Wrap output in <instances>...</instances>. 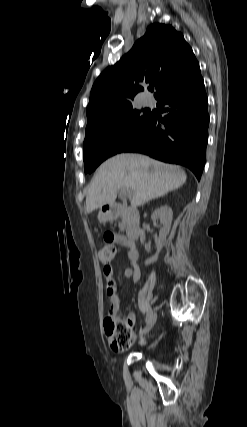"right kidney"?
<instances>
[{
    "mask_svg": "<svg viewBox=\"0 0 247 427\" xmlns=\"http://www.w3.org/2000/svg\"><path fill=\"white\" fill-rule=\"evenodd\" d=\"M151 218L153 221H156V220L160 221L161 229L159 232V238L156 242L157 253L152 258L146 260L145 265H149L151 263L156 262L161 249L166 244V237L169 234L172 219H173L172 209L167 205L161 206L160 208H157L152 213Z\"/></svg>",
    "mask_w": 247,
    "mask_h": 427,
    "instance_id": "obj_1",
    "label": "right kidney"
}]
</instances>
